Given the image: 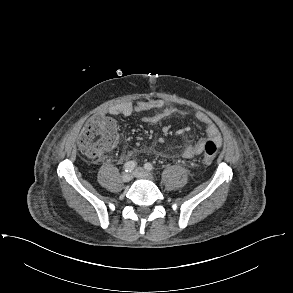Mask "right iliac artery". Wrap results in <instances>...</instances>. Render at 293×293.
<instances>
[{"label": "right iliac artery", "instance_id": "82829eb1", "mask_svg": "<svg viewBox=\"0 0 293 293\" xmlns=\"http://www.w3.org/2000/svg\"><path fill=\"white\" fill-rule=\"evenodd\" d=\"M136 167L135 161H128L124 164L123 168L126 172H132L134 168Z\"/></svg>", "mask_w": 293, "mask_h": 293}]
</instances>
